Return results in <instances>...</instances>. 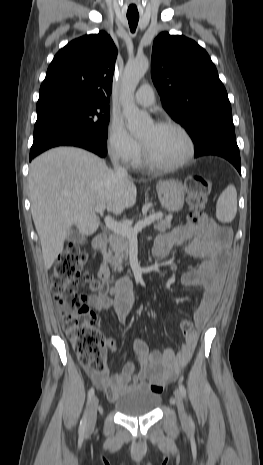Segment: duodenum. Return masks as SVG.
<instances>
[{
    "label": "duodenum",
    "instance_id": "obj_1",
    "mask_svg": "<svg viewBox=\"0 0 263 465\" xmlns=\"http://www.w3.org/2000/svg\"><path fill=\"white\" fill-rule=\"evenodd\" d=\"M107 241H108V237L106 234H98L92 240L90 247L94 252H101L105 249L107 245ZM98 276L102 280L108 279V270L105 265L101 266Z\"/></svg>",
    "mask_w": 263,
    "mask_h": 465
}]
</instances>
